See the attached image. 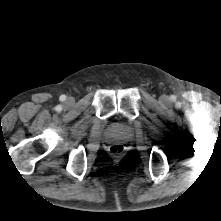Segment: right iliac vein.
<instances>
[{
    "mask_svg": "<svg viewBox=\"0 0 221 221\" xmlns=\"http://www.w3.org/2000/svg\"><path fill=\"white\" fill-rule=\"evenodd\" d=\"M73 98H68L67 99V101H66V103L68 104V105H71L72 103H73Z\"/></svg>",
    "mask_w": 221,
    "mask_h": 221,
    "instance_id": "right-iliac-vein-1",
    "label": "right iliac vein"
}]
</instances>
